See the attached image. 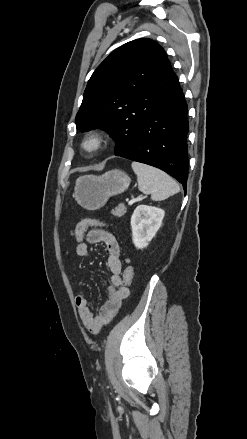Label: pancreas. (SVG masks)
I'll use <instances>...</instances> for the list:
<instances>
[{
    "label": "pancreas",
    "mask_w": 247,
    "mask_h": 439,
    "mask_svg": "<svg viewBox=\"0 0 247 439\" xmlns=\"http://www.w3.org/2000/svg\"><path fill=\"white\" fill-rule=\"evenodd\" d=\"M111 213L115 217H122L126 213V207L124 204H119L118 207L111 211Z\"/></svg>",
    "instance_id": "obj_1"
}]
</instances>
